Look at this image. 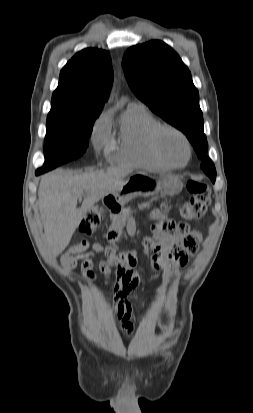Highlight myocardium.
I'll return each instance as SVG.
<instances>
[{"instance_id": "myocardium-1", "label": "myocardium", "mask_w": 253, "mask_h": 413, "mask_svg": "<svg viewBox=\"0 0 253 413\" xmlns=\"http://www.w3.org/2000/svg\"><path fill=\"white\" fill-rule=\"evenodd\" d=\"M164 131H170L173 132L175 134H177L185 143L186 149H187V158L186 161L182 164H176L173 163L172 161H170L162 152L161 147H160V135L164 132ZM149 146L150 149L152 151V153L154 154V156L163 164H165L166 166L170 167V168H183L185 167L192 156V146L191 143L188 139V137L186 136V134L184 132H182L179 128L171 125V124H167V123H158L157 125H155L150 133H149Z\"/></svg>"}]
</instances>
